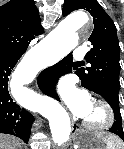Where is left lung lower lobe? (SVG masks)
Listing matches in <instances>:
<instances>
[{
	"label": "left lung lower lobe",
	"mask_w": 124,
	"mask_h": 149,
	"mask_svg": "<svg viewBox=\"0 0 124 149\" xmlns=\"http://www.w3.org/2000/svg\"><path fill=\"white\" fill-rule=\"evenodd\" d=\"M71 64L72 55L69 54L57 64L43 70V72L38 77V85L44 94L59 100V97L55 92V86L61 76L71 72ZM103 98H105V100L109 103V100L106 97ZM115 120L116 121L109 131L116 134L124 141V132L121 123L122 121L116 117Z\"/></svg>",
	"instance_id": "obj_1"
}]
</instances>
